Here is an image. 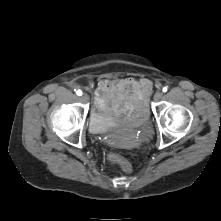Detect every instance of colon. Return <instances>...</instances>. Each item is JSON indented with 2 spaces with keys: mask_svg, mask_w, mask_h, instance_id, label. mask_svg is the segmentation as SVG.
Listing matches in <instances>:
<instances>
[{
  "mask_svg": "<svg viewBox=\"0 0 221 221\" xmlns=\"http://www.w3.org/2000/svg\"><path fill=\"white\" fill-rule=\"evenodd\" d=\"M108 159L113 162L119 164L125 173H131L132 167L131 164L124 158L120 157L115 153H110Z\"/></svg>",
  "mask_w": 221,
  "mask_h": 221,
  "instance_id": "5ec220e1",
  "label": "colon"
}]
</instances>
